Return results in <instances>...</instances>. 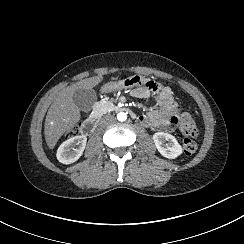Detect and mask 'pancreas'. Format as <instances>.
Returning a JSON list of instances; mask_svg holds the SVG:
<instances>
[{"mask_svg": "<svg viewBox=\"0 0 244 244\" xmlns=\"http://www.w3.org/2000/svg\"><path fill=\"white\" fill-rule=\"evenodd\" d=\"M97 105L103 108L106 112H108L111 109V106H113L111 101H101Z\"/></svg>", "mask_w": 244, "mask_h": 244, "instance_id": "cf45deb5", "label": "pancreas"}]
</instances>
